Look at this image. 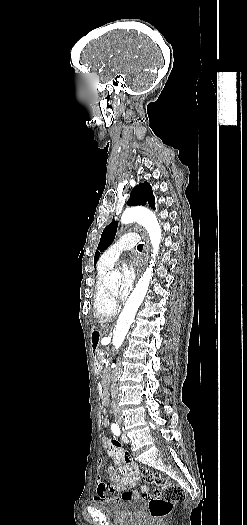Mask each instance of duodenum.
I'll return each mask as SVG.
<instances>
[{
    "mask_svg": "<svg viewBox=\"0 0 247 525\" xmlns=\"http://www.w3.org/2000/svg\"><path fill=\"white\" fill-rule=\"evenodd\" d=\"M101 370H102V365L100 364L99 361L96 360L94 362V371H95L96 374H99L101 372ZM97 391H98V394H99L100 398L104 399L105 395H104L102 386L99 385L98 388H97Z\"/></svg>",
    "mask_w": 247,
    "mask_h": 525,
    "instance_id": "duodenum-1",
    "label": "duodenum"
}]
</instances>
